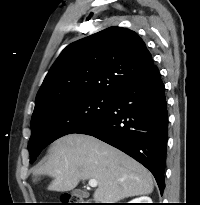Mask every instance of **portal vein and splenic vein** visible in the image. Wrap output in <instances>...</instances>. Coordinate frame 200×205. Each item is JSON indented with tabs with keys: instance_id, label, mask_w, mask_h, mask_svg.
Listing matches in <instances>:
<instances>
[{
	"instance_id": "1",
	"label": "portal vein and splenic vein",
	"mask_w": 200,
	"mask_h": 205,
	"mask_svg": "<svg viewBox=\"0 0 200 205\" xmlns=\"http://www.w3.org/2000/svg\"><path fill=\"white\" fill-rule=\"evenodd\" d=\"M88 185H89L90 187H93V188L97 187V185H98L97 180H95V179H90L89 182H88Z\"/></svg>"
}]
</instances>
